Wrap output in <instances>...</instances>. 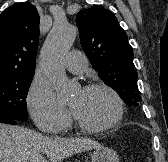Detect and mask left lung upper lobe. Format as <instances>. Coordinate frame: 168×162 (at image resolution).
<instances>
[{"label": "left lung upper lobe", "instance_id": "left-lung-upper-lobe-1", "mask_svg": "<svg viewBox=\"0 0 168 162\" xmlns=\"http://www.w3.org/2000/svg\"><path fill=\"white\" fill-rule=\"evenodd\" d=\"M81 46L100 78L128 105L138 106L137 70L133 49L115 15L99 5L76 16Z\"/></svg>", "mask_w": 168, "mask_h": 162}]
</instances>
